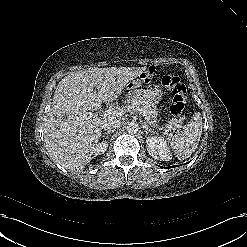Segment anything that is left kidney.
I'll list each match as a JSON object with an SVG mask.
<instances>
[{"label": "left kidney", "instance_id": "5707ae66", "mask_svg": "<svg viewBox=\"0 0 247 247\" xmlns=\"http://www.w3.org/2000/svg\"><path fill=\"white\" fill-rule=\"evenodd\" d=\"M146 148L154 159L160 161H169L172 159V154L167 141L162 136H150L146 138Z\"/></svg>", "mask_w": 247, "mask_h": 247}]
</instances>
